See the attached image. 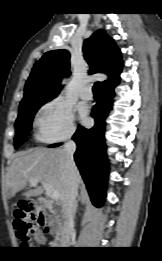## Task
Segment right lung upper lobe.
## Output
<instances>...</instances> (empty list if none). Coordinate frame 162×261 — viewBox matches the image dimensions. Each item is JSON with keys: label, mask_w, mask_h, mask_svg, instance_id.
Listing matches in <instances>:
<instances>
[{"label": "right lung upper lobe", "mask_w": 162, "mask_h": 261, "mask_svg": "<svg viewBox=\"0 0 162 261\" xmlns=\"http://www.w3.org/2000/svg\"><path fill=\"white\" fill-rule=\"evenodd\" d=\"M83 55L90 69L89 74L104 73L102 90L113 89L120 82L123 67L120 49L105 30L99 29L84 41ZM70 54L65 49L46 52L32 69L25 84L22 100L37 96L56 97L62 78L70 75Z\"/></svg>", "instance_id": "right-lung-upper-lobe-1"}]
</instances>
